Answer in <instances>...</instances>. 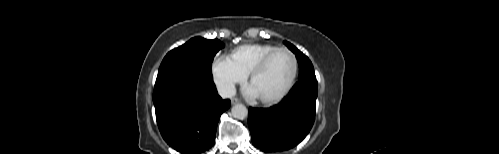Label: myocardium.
<instances>
[{"instance_id": "myocardium-1", "label": "myocardium", "mask_w": 499, "mask_h": 154, "mask_svg": "<svg viewBox=\"0 0 499 154\" xmlns=\"http://www.w3.org/2000/svg\"><path fill=\"white\" fill-rule=\"evenodd\" d=\"M279 52H285L291 57L293 63L292 73L286 86L276 96L270 98H259L260 102H262L263 104L271 105L278 103L290 92L295 83V79L298 73V61L294 53L284 47L276 48L266 54L249 72L248 82L251 83V81L265 69L270 59Z\"/></svg>"}]
</instances>
